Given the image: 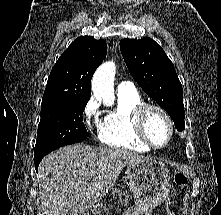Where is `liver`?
Returning <instances> with one entry per match:
<instances>
[{
	"mask_svg": "<svg viewBox=\"0 0 221 215\" xmlns=\"http://www.w3.org/2000/svg\"><path fill=\"white\" fill-rule=\"evenodd\" d=\"M149 159L127 150L66 146L41 161L38 168L40 215L84 214L116 183L122 169Z\"/></svg>",
	"mask_w": 221,
	"mask_h": 215,
	"instance_id": "1",
	"label": "liver"
}]
</instances>
